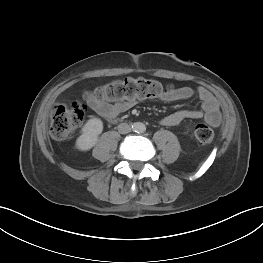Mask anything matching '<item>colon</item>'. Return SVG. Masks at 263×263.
<instances>
[{
  "mask_svg": "<svg viewBox=\"0 0 263 263\" xmlns=\"http://www.w3.org/2000/svg\"><path fill=\"white\" fill-rule=\"evenodd\" d=\"M170 90L169 86H164L156 80L130 77L106 84L92 94L108 102H122L158 98ZM84 118L85 106L81 103L55 106L51 112L50 122L52 137L58 140L69 138L82 124ZM194 133L196 139L203 144H209L214 139L212 128L204 123L197 124Z\"/></svg>",
  "mask_w": 263,
  "mask_h": 263,
  "instance_id": "obj_1",
  "label": "colon"
}]
</instances>
